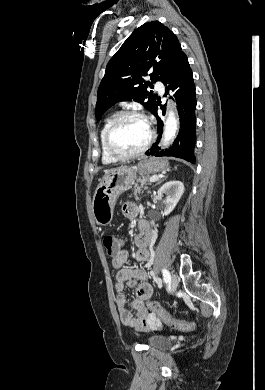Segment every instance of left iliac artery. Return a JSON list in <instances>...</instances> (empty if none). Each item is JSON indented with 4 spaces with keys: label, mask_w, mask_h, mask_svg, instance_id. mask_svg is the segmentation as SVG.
<instances>
[{
    "label": "left iliac artery",
    "mask_w": 265,
    "mask_h": 390,
    "mask_svg": "<svg viewBox=\"0 0 265 390\" xmlns=\"http://www.w3.org/2000/svg\"><path fill=\"white\" fill-rule=\"evenodd\" d=\"M162 273H163V279L166 283H168L171 279V276H170V273L167 269H162ZM157 284H158V287H161L162 286V283L160 280H157L156 281Z\"/></svg>",
    "instance_id": "obj_1"
}]
</instances>
